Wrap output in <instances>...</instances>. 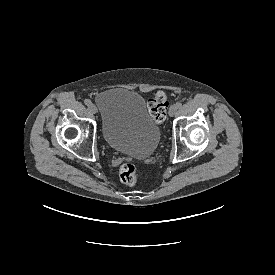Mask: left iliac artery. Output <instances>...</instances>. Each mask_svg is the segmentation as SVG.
Segmentation results:
<instances>
[{
    "label": "left iliac artery",
    "mask_w": 275,
    "mask_h": 275,
    "mask_svg": "<svg viewBox=\"0 0 275 275\" xmlns=\"http://www.w3.org/2000/svg\"><path fill=\"white\" fill-rule=\"evenodd\" d=\"M175 106H176L177 108H180V107L182 106V103H181V102H177V103L175 104Z\"/></svg>",
    "instance_id": "1"
}]
</instances>
